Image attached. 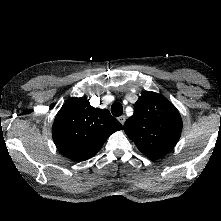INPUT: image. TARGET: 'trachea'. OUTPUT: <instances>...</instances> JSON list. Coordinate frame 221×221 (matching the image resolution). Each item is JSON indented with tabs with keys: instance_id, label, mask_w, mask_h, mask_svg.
<instances>
[{
	"instance_id": "3493384b",
	"label": "trachea",
	"mask_w": 221,
	"mask_h": 221,
	"mask_svg": "<svg viewBox=\"0 0 221 221\" xmlns=\"http://www.w3.org/2000/svg\"><path fill=\"white\" fill-rule=\"evenodd\" d=\"M113 116L119 117L123 114V107L119 102H114L111 106Z\"/></svg>"
}]
</instances>
